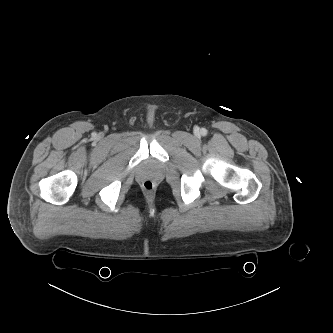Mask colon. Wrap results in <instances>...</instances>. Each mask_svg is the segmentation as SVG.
I'll use <instances>...</instances> for the list:
<instances>
[{"label": "colon", "instance_id": "colon-1", "mask_svg": "<svg viewBox=\"0 0 333 333\" xmlns=\"http://www.w3.org/2000/svg\"><path fill=\"white\" fill-rule=\"evenodd\" d=\"M142 187L145 191L151 192L154 189V183L151 180H145L142 183Z\"/></svg>", "mask_w": 333, "mask_h": 333}]
</instances>
